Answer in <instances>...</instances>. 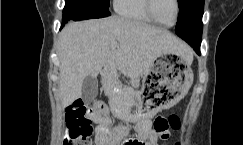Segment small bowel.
Listing matches in <instances>:
<instances>
[{
	"label": "small bowel",
	"instance_id": "small-bowel-1",
	"mask_svg": "<svg viewBox=\"0 0 243 145\" xmlns=\"http://www.w3.org/2000/svg\"><path fill=\"white\" fill-rule=\"evenodd\" d=\"M93 113L94 122L99 125L103 122L109 123L108 108L105 104L98 102L95 104ZM157 133L148 118H142L137 122L136 135L131 136L129 130L124 126L109 129L106 135L97 134L95 136L96 145H160L159 139H167ZM68 130L64 134V145H70Z\"/></svg>",
	"mask_w": 243,
	"mask_h": 145
}]
</instances>
